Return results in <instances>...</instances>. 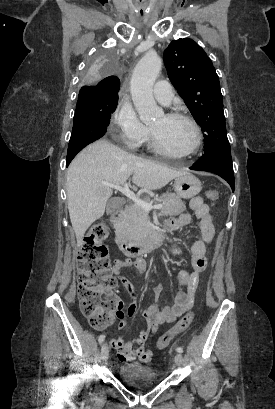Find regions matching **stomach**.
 I'll return each mask as SVG.
<instances>
[{
	"mask_svg": "<svg viewBox=\"0 0 275 409\" xmlns=\"http://www.w3.org/2000/svg\"><path fill=\"white\" fill-rule=\"evenodd\" d=\"M201 188V180L191 172L183 174V176H177L174 180V190L181 198H192V196H196L200 192Z\"/></svg>",
	"mask_w": 275,
	"mask_h": 409,
	"instance_id": "0dacf381",
	"label": "stomach"
}]
</instances>
